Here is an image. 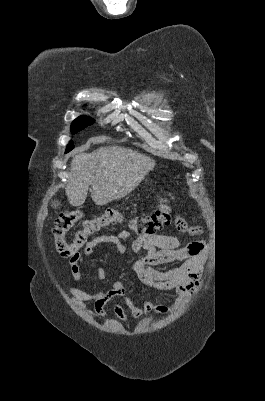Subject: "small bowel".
<instances>
[{"label":"small bowel","instance_id":"1","mask_svg":"<svg viewBox=\"0 0 265 401\" xmlns=\"http://www.w3.org/2000/svg\"><path fill=\"white\" fill-rule=\"evenodd\" d=\"M176 228L183 233L197 235L201 233L200 227L189 226L181 216L174 220ZM130 239L127 231H121L117 235L103 234L88 241L85 246L75 255L69 258L70 272L73 279L80 283L82 281L80 266L85 258L91 257L94 248L101 243H109L114 246L118 253L127 251L125 243ZM131 248L136 255L133 264L138 279L145 285L156 290H175L177 300L173 308H179L188 301L196 292L203 272L206 245L203 241H193L184 244L179 238L171 235L151 234L140 235L132 240ZM181 261L182 264L168 271H161L155 266ZM99 280L106 277L104 267L97 269ZM69 291L77 303L89 316L93 318H105L107 312L105 306L114 298H122L123 303L114 305V314L122 322H127L128 315L124 305L134 318H140L150 312L167 313L170 308L156 305L148 300L140 306L133 296L127 295L126 286L121 281L114 282L107 290L90 293L78 287H69ZM86 302H93L94 309H85Z\"/></svg>","mask_w":265,"mask_h":401}]
</instances>
